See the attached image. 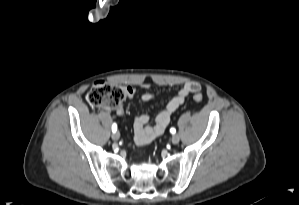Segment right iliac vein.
Segmentation results:
<instances>
[{"label":"right iliac vein","mask_w":299,"mask_h":205,"mask_svg":"<svg viewBox=\"0 0 299 205\" xmlns=\"http://www.w3.org/2000/svg\"><path fill=\"white\" fill-rule=\"evenodd\" d=\"M119 137H120V134L118 132H115V133L112 134V139L114 141H117L119 139Z\"/></svg>","instance_id":"1"}]
</instances>
